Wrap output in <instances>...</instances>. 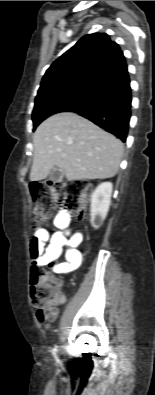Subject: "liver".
I'll list each match as a JSON object with an SVG mask.
<instances>
[{
	"label": "liver",
	"instance_id": "6515ba94",
	"mask_svg": "<svg viewBox=\"0 0 155 395\" xmlns=\"http://www.w3.org/2000/svg\"><path fill=\"white\" fill-rule=\"evenodd\" d=\"M33 143L32 182L45 179L54 167L69 180L111 178L118 172L124 151L115 136L71 112L44 120Z\"/></svg>",
	"mask_w": 155,
	"mask_h": 395
}]
</instances>
